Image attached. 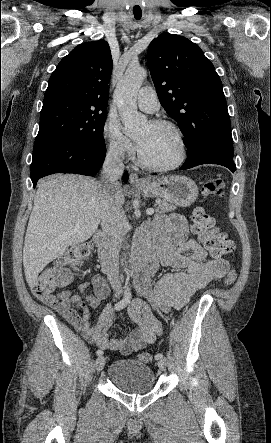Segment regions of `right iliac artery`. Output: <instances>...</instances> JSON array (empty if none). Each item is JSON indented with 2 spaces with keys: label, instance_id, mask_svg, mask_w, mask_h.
<instances>
[{
  "label": "right iliac artery",
  "instance_id": "obj_1",
  "mask_svg": "<svg viewBox=\"0 0 271 443\" xmlns=\"http://www.w3.org/2000/svg\"><path fill=\"white\" fill-rule=\"evenodd\" d=\"M131 297H132V295H131L130 289L126 288L125 292H124V297L122 298L121 301H119L118 303L115 304V306H114L115 309L122 310L123 308H125L130 303ZM96 354L98 356L103 355V350H97Z\"/></svg>",
  "mask_w": 271,
  "mask_h": 443
}]
</instances>
